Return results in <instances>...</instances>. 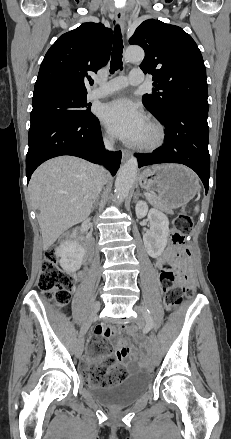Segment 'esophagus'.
<instances>
[{
    "label": "esophagus",
    "instance_id": "1",
    "mask_svg": "<svg viewBox=\"0 0 231 439\" xmlns=\"http://www.w3.org/2000/svg\"><path fill=\"white\" fill-rule=\"evenodd\" d=\"M114 19L116 23L121 26L122 31L125 30V14L122 10H117L114 15ZM131 156V152L128 150L122 151V159L125 161Z\"/></svg>",
    "mask_w": 231,
    "mask_h": 439
}]
</instances>
